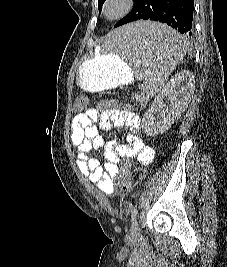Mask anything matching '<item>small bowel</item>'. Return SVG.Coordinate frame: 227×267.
I'll return each instance as SVG.
<instances>
[{
	"mask_svg": "<svg viewBox=\"0 0 227 267\" xmlns=\"http://www.w3.org/2000/svg\"><path fill=\"white\" fill-rule=\"evenodd\" d=\"M127 127L132 133L126 137V144L105 142L99 129ZM141 129L140 116L128 109H108L103 112L91 108L77 114L71 123V142L77 148L76 164L89 181L96 183L104 193H112L115 173L132 168V159L141 165L150 164L154 150L136 133ZM102 150L104 164L89 156V152ZM121 159L124 162H121Z\"/></svg>",
	"mask_w": 227,
	"mask_h": 267,
	"instance_id": "small-bowel-1",
	"label": "small bowel"
}]
</instances>
